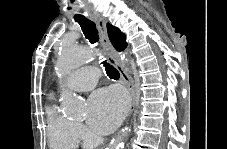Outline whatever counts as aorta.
Returning <instances> with one entry per match:
<instances>
[{
  "instance_id": "762f6f07",
  "label": "aorta",
  "mask_w": 227,
  "mask_h": 149,
  "mask_svg": "<svg viewBox=\"0 0 227 149\" xmlns=\"http://www.w3.org/2000/svg\"><path fill=\"white\" fill-rule=\"evenodd\" d=\"M94 57V53L80 45L75 43H63L56 62V73L60 77L66 76L84 64L86 61L91 60ZM61 100L63 107L68 112L73 115L81 114V102L77 96L66 92L61 95ZM127 133L128 130L126 129L118 134V136L110 142L108 149H121Z\"/></svg>"
}]
</instances>
